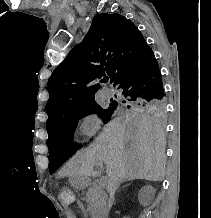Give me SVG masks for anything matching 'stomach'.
Masks as SVG:
<instances>
[{
    "label": "stomach",
    "mask_w": 211,
    "mask_h": 218,
    "mask_svg": "<svg viewBox=\"0 0 211 218\" xmlns=\"http://www.w3.org/2000/svg\"><path fill=\"white\" fill-rule=\"evenodd\" d=\"M70 183L75 188H84L87 185V177L82 174H72L70 176Z\"/></svg>",
    "instance_id": "stomach-1"
}]
</instances>
